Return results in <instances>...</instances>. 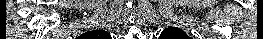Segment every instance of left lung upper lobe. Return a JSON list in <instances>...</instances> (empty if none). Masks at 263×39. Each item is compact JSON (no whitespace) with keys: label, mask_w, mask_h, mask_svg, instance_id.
Listing matches in <instances>:
<instances>
[{"label":"left lung upper lobe","mask_w":263,"mask_h":39,"mask_svg":"<svg viewBox=\"0 0 263 39\" xmlns=\"http://www.w3.org/2000/svg\"><path fill=\"white\" fill-rule=\"evenodd\" d=\"M159 39H191V37L179 28L168 27L163 30Z\"/></svg>","instance_id":"obj_1"}]
</instances>
